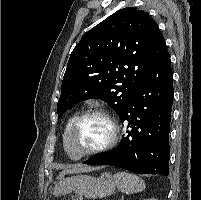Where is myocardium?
<instances>
[{
    "mask_svg": "<svg viewBox=\"0 0 201 200\" xmlns=\"http://www.w3.org/2000/svg\"><path fill=\"white\" fill-rule=\"evenodd\" d=\"M92 116H97L103 118L109 125L110 127V135L108 140L101 146L88 150L86 152L80 153V154H75L72 146H71V137L72 134L77 127V125L84 120L85 118L92 117ZM119 138V126L114 118V116L107 110L101 109V108H93L89 109L80 115H78L74 120L72 121L71 125L69 126L66 136H65V151L66 154L73 160H79L84 157L88 156H93L97 154L104 153L110 149H112L118 142Z\"/></svg>",
    "mask_w": 201,
    "mask_h": 200,
    "instance_id": "f54148a6",
    "label": "myocardium"
}]
</instances>
